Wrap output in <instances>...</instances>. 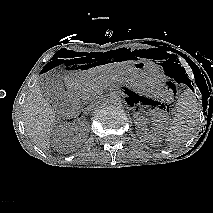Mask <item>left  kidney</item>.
Instances as JSON below:
<instances>
[{
  "mask_svg": "<svg viewBox=\"0 0 213 213\" xmlns=\"http://www.w3.org/2000/svg\"><path fill=\"white\" fill-rule=\"evenodd\" d=\"M152 119L155 122L154 123L155 128L152 132H150L146 128L145 117L138 115V114L135 116L137 134H138V136H140L141 138H143L145 140L160 138L166 130V125H165L166 118L162 112H159V111L152 112Z\"/></svg>",
  "mask_w": 213,
  "mask_h": 213,
  "instance_id": "1",
  "label": "left kidney"
}]
</instances>
